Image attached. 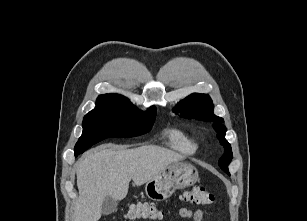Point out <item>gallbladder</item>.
I'll return each instance as SVG.
<instances>
[{
    "label": "gallbladder",
    "mask_w": 307,
    "mask_h": 221,
    "mask_svg": "<svg viewBox=\"0 0 307 221\" xmlns=\"http://www.w3.org/2000/svg\"><path fill=\"white\" fill-rule=\"evenodd\" d=\"M118 202L111 197H106L102 204V214L110 215L117 210Z\"/></svg>",
    "instance_id": "1"
}]
</instances>
